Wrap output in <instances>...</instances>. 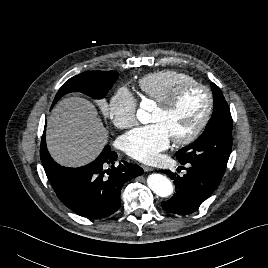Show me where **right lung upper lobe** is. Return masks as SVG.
Wrapping results in <instances>:
<instances>
[{"label": "right lung upper lobe", "instance_id": "right-lung-upper-lobe-1", "mask_svg": "<svg viewBox=\"0 0 268 268\" xmlns=\"http://www.w3.org/2000/svg\"><path fill=\"white\" fill-rule=\"evenodd\" d=\"M40 156H41V161H42V164L44 166L45 172L48 174L47 177L53 183L54 181L51 179V176L53 173V166H54L55 162L50 157V155L47 151V148H46V144L43 142L41 143Z\"/></svg>", "mask_w": 268, "mask_h": 268}]
</instances>
